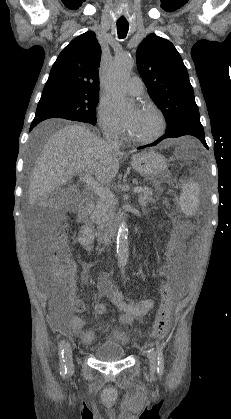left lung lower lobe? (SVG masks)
Segmentation results:
<instances>
[{
  "mask_svg": "<svg viewBox=\"0 0 231 419\" xmlns=\"http://www.w3.org/2000/svg\"><path fill=\"white\" fill-rule=\"evenodd\" d=\"M184 135H191L198 138L204 144V146L208 148L207 143L205 141L204 129L201 124H188L174 132L165 133L161 138H159L157 141H155L154 143L148 146L156 145L161 140L166 139V138H176V137H180ZM144 147H147V146L139 147V149L144 148Z\"/></svg>",
  "mask_w": 231,
  "mask_h": 419,
  "instance_id": "0a47b994",
  "label": "left lung lower lobe"
}]
</instances>
